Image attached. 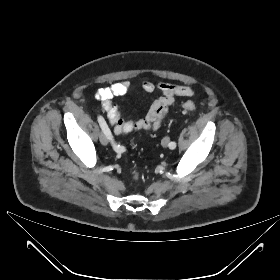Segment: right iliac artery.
Wrapping results in <instances>:
<instances>
[{
	"instance_id": "82829eb1",
	"label": "right iliac artery",
	"mask_w": 280,
	"mask_h": 280,
	"mask_svg": "<svg viewBox=\"0 0 280 280\" xmlns=\"http://www.w3.org/2000/svg\"><path fill=\"white\" fill-rule=\"evenodd\" d=\"M98 122H99V125H100L103 133L111 141V144H112L114 150L118 151V152L124 151L125 148L115 142V140L110 132V129L108 128V126L106 124V121L104 120V118L101 115L98 116Z\"/></svg>"
}]
</instances>
